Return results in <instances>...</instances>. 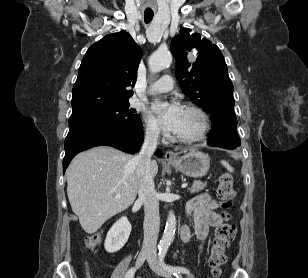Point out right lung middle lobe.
<instances>
[{
    "label": "right lung middle lobe",
    "mask_w": 308,
    "mask_h": 278,
    "mask_svg": "<svg viewBox=\"0 0 308 278\" xmlns=\"http://www.w3.org/2000/svg\"><path fill=\"white\" fill-rule=\"evenodd\" d=\"M129 106L128 102H124L73 115L69 118V130L82 127L142 129L140 117Z\"/></svg>",
    "instance_id": "right-lung-middle-lobe-1"
}]
</instances>
